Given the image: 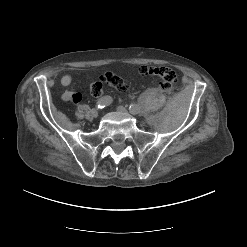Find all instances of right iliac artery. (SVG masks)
I'll return each mask as SVG.
<instances>
[{
  "instance_id": "obj_1",
  "label": "right iliac artery",
  "mask_w": 247,
  "mask_h": 247,
  "mask_svg": "<svg viewBox=\"0 0 247 247\" xmlns=\"http://www.w3.org/2000/svg\"><path fill=\"white\" fill-rule=\"evenodd\" d=\"M112 98L110 96H104L102 98H100L97 103H96V107L98 109H102L108 105H110L112 103Z\"/></svg>"
}]
</instances>
